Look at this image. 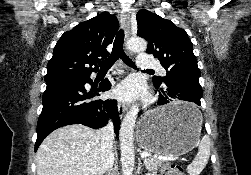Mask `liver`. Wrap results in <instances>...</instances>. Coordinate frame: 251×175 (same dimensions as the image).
<instances>
[{"label": "liver", "instance_id": "liver-1", "mask_svg": "<svg viewBox=\"0 0 251 175\" xmlns=\"http://www.w3.org/2000/svg\"><path fill=\"white\" fill-rule=\"evenodd\" d=\"M100 163V131L80 123L52 131L36 153L37 175H100Z\"/></svg>", "mask_w": 251, "mask_h": 175}]
</instances>
